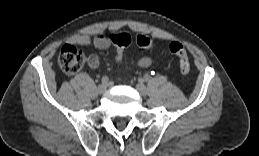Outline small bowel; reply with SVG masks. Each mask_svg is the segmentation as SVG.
I'll use <instances>...</instances> for the list:
<instances>
[{"label": "small bowel", "mask_w": 259, "mask_h": 156, "mask_svg": "<svg viewBox=\"0 0 259 156\" xmlns=\"http://www.w3.org/2000/svg\"><path fill=\"white\" fill-rule=\"evenodd\" d=\"M70 42L78 45L93 44L97 49H100V50H106L113 44L110 39V36L108 37L103 34H98L94 37H91L86 34H77L70 38ZM151 63H152V59L148 56H144L140 58L138 61V65L140 67H148L151 65ZM98 64H99V58L95 55H92L89 58V65L92 68H96Z\"/></svg>", "instance_id": "c3829d8e"}]
</instances>
